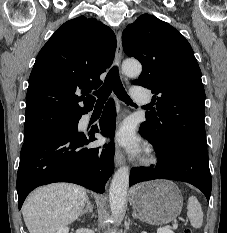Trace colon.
I'll list each match as a JSON object with an SVG mask.
<instances>
[{
  "label": "colon",
  "instance_id": "colon-1",
  "mask_svg": "<svg viewBox=\"0 0 227 233\" xmlns=\"http://www.w3.org/2000/svg\"><path fill=\"white\" fill-rule=\"evenodd\" d=\"M184 233H193L191 230L187 229L184 231Z\"/></svg>",
  "mask_w": 227,
  "mask_h": 233
}]
</instances>
